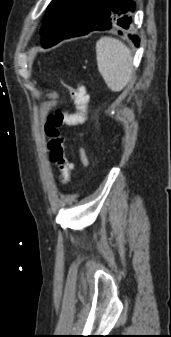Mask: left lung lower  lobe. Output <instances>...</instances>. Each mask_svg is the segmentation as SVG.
Segmentation results:
<instances>
[{"instance_id":"left-lung-lower-lobe-1","label":"left lung lower lobe","mask_w":171,"mask_h":337,"mask_svg":"<svg viewBox=\"0 0 171 337\" xmlns=\"http://www.w3.org/2000/svg\"><path fill=\"white\" fill-rule=\"evenodd\" d=\"M134 10L135 3L132 0H85L76 24L61 40L110 28L122 34V31L130 28ZM129 37L138 47L139 37L130 34Z\"/></svg>"}]
</instances>
